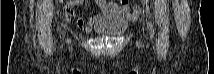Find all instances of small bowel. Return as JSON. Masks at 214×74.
<instances>
[{
	"label": "small bowel",
	"instance_id": "small-bowel-1",
	"mask_svg": "<svg viewBox=\"0 0 214 74\" xmlns=\"http://www.w3.org/2000/svg\"><path fill=\"white\" fill-rule=\"evenodd\" d=\"M79 1H76L75 3H78ZM96 4L98 8L103 12H110L111 10H116L118 13H120L122 16L128 17V18H137L141 13V7L136 5L132 9L129 8V4L127 2L121 3V9L118 11L116 8L118 7L117 4L108 3L106 1H96ZM74 4H71L72 6ZM68 14L70 16L75 17L76 12L72 9L68 10ZM100 20V15H94L92 17H89L88 19H85L82 16H77L76 18V25L78 28H80L84 32H90L93 27L97 24V22Z\"/></svg>",
	"mask_w": 214,
	"mask_h": 74
}]
</instances>
